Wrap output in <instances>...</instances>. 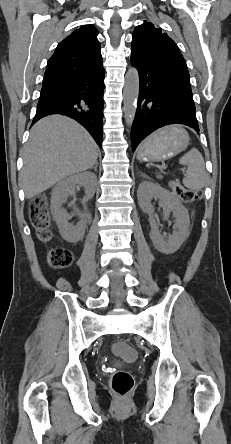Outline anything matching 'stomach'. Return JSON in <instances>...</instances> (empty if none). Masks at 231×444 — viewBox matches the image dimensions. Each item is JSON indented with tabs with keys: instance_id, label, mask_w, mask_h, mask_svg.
<instances>
[{
	"instance_id": "stomach-1",
	"label": "stomach",
	"mask_w": 231,
	"mask_h": 444,
	"mask_svg": "<svg viewBox=\"0 0 231 444\" xmlns=\"http://www.w3.org/2000/svg\"><path fill=\"white\" fill-rule=\"evenodd\" d=\"M189 144L188 133L179 126H168L148 137L139 147L140 161L159 162L182 152Z\"/></svg>"
}]
</instances>
